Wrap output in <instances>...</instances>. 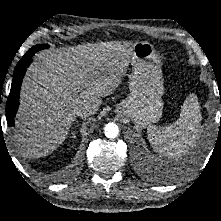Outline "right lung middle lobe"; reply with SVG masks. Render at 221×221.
I'll use <instances>...</instances> for the list:
<instances>
[{"instance_id":"1","label":"right lung middle lobe","mask_w":221,"mask_h":221,"mask_svg":"<svg viewBox=\"0 0 221 221\" xmlns=\"http://www.w3.org/2000/svg\"><path fill=\"white\" fill-rule=\"evenodd\" d=\"M48 47H49L48 45L38 44V45L32 47L30 50H33V51L37 52V51H39L41 49H46Z\"/></svg>"}]
</instances>
